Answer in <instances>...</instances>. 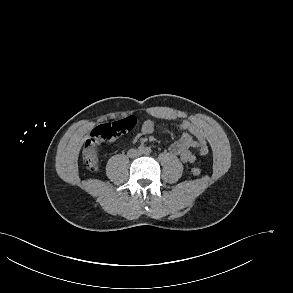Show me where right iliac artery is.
<instances>
[{"label": "right iliac artery", "mask_w": 293, "mask_h": 293, "mask_svg": "<svg viewBox=\"0 0 293 293\" xmlns=\"http://www.w3.org/2000/svg\"><path fill=\"white\" fill-rule=\"evenodd\" d=\"M138 150H139V152H144V150H145L144 145L139 146L138 147Z\"/></svg>", "instance_id": "1"}]
</instances>
